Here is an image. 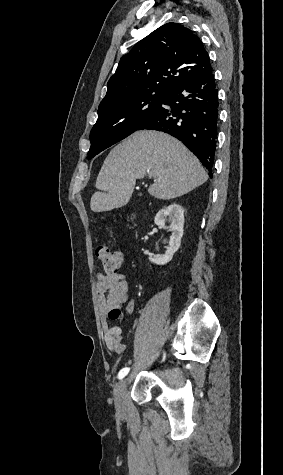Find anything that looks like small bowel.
Here are the masks:
<instances>
[{
    "label": "small bowel",
    "mask_w": 283,
    "mask_h": 475,
    "mask_svg": "<svg viewBox=\"0 0 283 475\" xmlns=\"http://www.w3.org/2000/svg\"><path fill=\"white\" fill-rule=\"evenodd\" d=\"M129 286L123 275L117 272L99 273L97 275V307L106 348L111 353L122 354L125 346L122 337L123 319L120 306L125 305L131 316L135 304L128 297Z\"/></svg>",
    "instance_id": "1"
}]
</instances>
